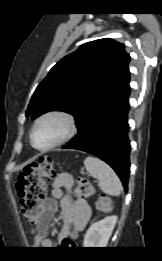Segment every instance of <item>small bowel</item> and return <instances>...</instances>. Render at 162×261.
<instances>
[{
    "instance_id": "small-bowel-1",
    "label": "small bowel",
    "mask_w": 162,
    "mask_h": 261,
    "mask_svg": "<svg viewBox=\"0 0 162 261\" xmlns=\"http://www.w3.org/2000/svg\"><path fill=\"white\" fill-rule=\"evenodd\" d=\"M73 178L70 174L59 175L52 187L51 198L46 201L45 211L41 215L38 227L40 233L34 238V246L43 249H51L54 242L44 236V232L57 211V202H60L62 228L59 240L69 239L72 232L82 231L91 218V209L84 200L72 197Z\"/></svg>"
}]
</instances>
